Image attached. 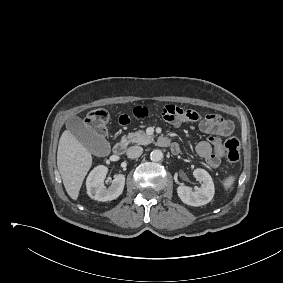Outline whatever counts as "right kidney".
Instances as JSON below:
<instances>
[{"instance_id":"1","label":"right kidney","mask_w":283,"mask_h":283,"mask_svg":"<svg viewBox=\"0 0 283 283\" xmlns=\"http://www.w3.org/2000/svg\"><path fill=\"white\" fill-rule=\"evenodd\" d=\"M108 173V168L104 165L95 167L87 177L86 188L87 194L97 201H111L118 198L124 189L125 176L123 174H117L111 185L106 188L104 186V180Z\"/></svg>"}]
</instances>
